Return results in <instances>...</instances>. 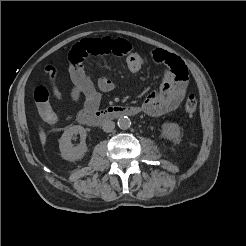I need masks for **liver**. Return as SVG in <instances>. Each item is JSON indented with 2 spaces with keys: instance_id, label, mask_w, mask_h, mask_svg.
I'll return each mask as SVG.
<instances>
[{
  "instance_id": "6515ba94",
  "label": "liver",
  "mask_w": 246,
  "mask_h": 246,
  "mask_svg": "<svg viewBox=\"0 0 246 246\" xmlns=\"http://www.w3.org/2000/svg\"><path fill=\"white\" fill-rule=\"evenodd\" d=\"M39 138H40V141H41V144L44 146L46 144V134L44 132L43 129L40 128V131H39Z\"/></svg>"
}]
</instances>
